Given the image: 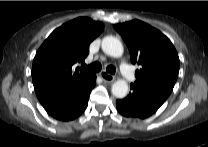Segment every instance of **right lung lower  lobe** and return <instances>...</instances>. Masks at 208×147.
<instances>
[{"mask_svg": "<svg viewBox=\"0 0 208 147\" xmlns=\"http://www.w3.org/2000/svg\"><path fill=\"white\" fill-rule=\"evenodd\" d=\"M96 84V75L79 87L72 94L44 104V109L54 118L62 121H70L80 116L88 105V99L92 88Z\"/></svg>", "mask_w": 208, "mask_h": 147, "instance_id": "98d812e1", "label": "right lung lower lobe"}]
</instances>
